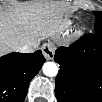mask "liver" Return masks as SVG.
<instances>
[{"label": "liver", "mask_w": 102, "mask_h": 102, "mask_svg": "<svg viewBox=\"0 0 102 102\" xmlns=\"http://www.w3.org/2000/svg\"><path fill=\"white\" fill-rule=\"evenodd\" d=\"M64 15L62 8L52 0H33L2 8L0 12L1 53L17 51L18 47L43 40L51 26Z\"/></svg>", "instance_id": "6515ba94"}]
</instances>
